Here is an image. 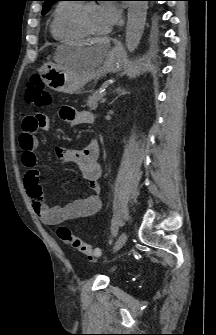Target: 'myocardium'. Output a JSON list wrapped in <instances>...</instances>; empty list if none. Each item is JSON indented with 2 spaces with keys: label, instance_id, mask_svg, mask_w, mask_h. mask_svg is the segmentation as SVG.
<instances>
[{
  "label": "myocardium",
  "instance_id": "myocardium-1",
  "mask_svg": "<svg viewBox=\"0 0 216 335\" xmlns=\"http://www.w3.org/2000/svg\"><path fill=\"white\" fill-rule=\"evenodd\" d=\"M93 5V4H81L80 7L77 10L76 13V23L78 25V27L86 34V35H90V36H102L105 35L107 33L106 31L103 32H96L93 31L88 22H87V10L88 8Z\"/></svg>",
  "mask_w": 216,
  "mask_h": 335
}]
</instances>
